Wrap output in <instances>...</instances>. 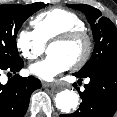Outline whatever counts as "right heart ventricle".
Returning a JSON list of instances; mask_svg holds the SVG:
<instances>
[{
	"mask_svg": "<svg viewBox=\"0 0 117 117\" xmlns=\"http://www.w3.org/2000/svg\"><path fill=\"white\" fill-rule=\"evenodd\" d=\"M31 25L44 44L64 32L85 29L83 19L75 12L64 8H52L39 13L31 20Z\"/></svg>",
	"mask_w": 117,
	"mask_h": 117,
	"instance_id": "e07e8e85",
	"label": "right heart ventricle"
}]
</instances>
